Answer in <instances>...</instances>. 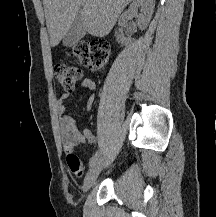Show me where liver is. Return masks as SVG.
I'll return each instance as SVG.
<instances>
[{"label": "liver", "instance_id": "1", "mask_svg": "<svg viewBox=\"0 0 216 217\" xmlns=\"http://www.w3.org/2000/svg\"><path fill=\"white\" fill-rule=\"evenodd\" d=\"M131 0H43L51 46L59 44L80 16L85 32L105 36ZM80 7L83 9L80 11Z\"/></svg>", "mask_w": 216, "mask_h": 217}]
</instances>
